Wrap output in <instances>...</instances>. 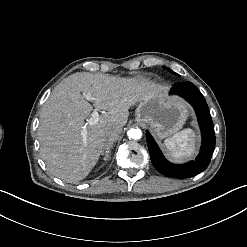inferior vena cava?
Here are the masks:
<instances>
[{"instance_id":"1","label":"inferior vena cava","mask_w":247,"mask_h":247,"mask_svg":"<svg viewBox=\"0 0 247 247\" xmlns=\"http://www.w3.org/2000/svg\"><path fill=\"white\" fill-rule=\"evenodd\" d=\"M123 127L120 125H109L105 128V134L108 137V141H117L122 133Z\"/></svg>"}]
</instances>
